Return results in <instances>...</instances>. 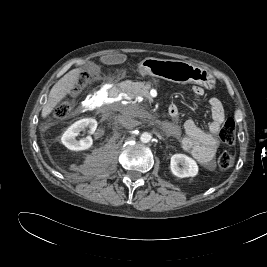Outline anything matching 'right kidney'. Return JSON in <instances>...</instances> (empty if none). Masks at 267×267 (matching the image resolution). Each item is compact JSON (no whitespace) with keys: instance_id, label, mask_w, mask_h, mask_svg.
I'll return each instance as SVG.
<instances>
[{"instance_id":"1","label":"right kidney","mask_w":267,"mask_h":267,"mask_svg":"<svg viewBox=\"0 0 267 267\" xmlns=\"http://www.w3.org/2000/svg\"><path fill=\"white\" fill-rule=\"evenodd\" d=\"M86 127L90 129V133H94L97 128V121L93 118H84L73 123L61 137L63 145L73 151L89 149L93 144V140L90 136L80 139L79 141L76 139L80 132Z\"/></svg>"}]
</instances>
